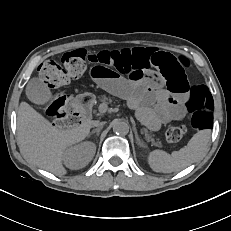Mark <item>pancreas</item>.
I'll return each instance as SVG.
<instances>
[{
	"label": "pancreas",
	"mask_w": 231,
	"mask_h": 231,
	"mask_svg": "<svg viewBox=\"0 0 231 231\" xmlns=\"http://www.w3.org/2000/svg\"><path fill=\"white\" fill-rule=\"evenodd\" d=\"M100 101L102 103H106V104H111L113 102V100L110 97H107L105 95L101 96ZM142 133L145 135V138L148 141L152 142L153 145H155L157 147L161 146V143L154 138V135L151 133V131H149L146 128H142Z\"/></svg>",
	"instance_id": "1"
}]
</instances>
